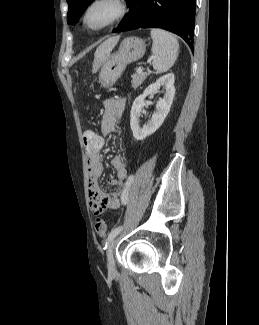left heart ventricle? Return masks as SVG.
Segmentation results:
<instances>
[{"instance_id":"1","label":"left heart ventricle","mask_w":259,"mask_h":325,"mask_svg":"<svg viewBox=\"0 0 259 325\" xmlns=\"http://www.w3.org/2000/svg\"><path fill=\"white\" fill-rule=\"evenodd\" d=\"M116 10V6L111 2L99 3L90 11L88 21L93 25L101 24L112 18Z\"/></svg>"}]
</instances>
